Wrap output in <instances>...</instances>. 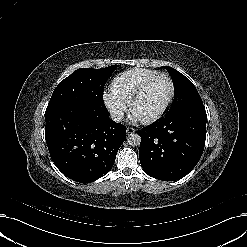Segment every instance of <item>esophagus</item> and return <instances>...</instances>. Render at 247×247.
I'll return each mask as SVG.
<instances>
[{
    "label": "esophagus",
    "instance_id": "esophagus-1",
    "mask_svg": "<svg viewBox=\"0 0 247 247\" xmlns=\"http://www.w3.org/2000/svg\"><path fill=\"white\" fill-rule=\"evenodd\" d=\"M126 131H127V134L130 135V134L134 133L136 130L133 127H127Z\"/></svg>",
    "mask_w": 247,
    "mask_h": 247
}]
</instances>
